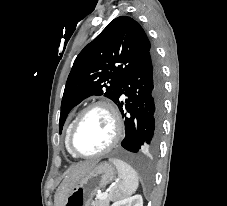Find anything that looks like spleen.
Here are the masks:
<instances>
[{"mask_svg": "<svg viewBox=\"0 0 227 206\" xmlns=\"http://www.w3.org/2000/svg\"><path fill=\"white\" fill-rule=\"evenodd\" d=\"M111 162L116 166L121 179L112 189V199H121L135 193L138 188V176L136 171L122 160L114 158L111 159Z\"/></svg>", "mask_w": 227, "mask_h": 206, "instance_id": "3e777b00", "label": "spleen"}]
</instances>
